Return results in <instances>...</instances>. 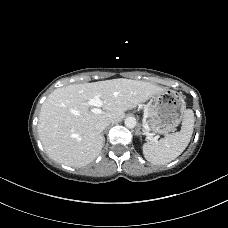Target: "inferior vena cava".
I'll list each match as a JSON object with an SVG mask.
<instances>
[{
    "label": "inferior vena cava",
    "mask_w": 228,
    "mask_h": 228,
    "mask_svg": "<svg viewBox=\"0 0 228 228\" xmlns=\"http://www.w3.org/2000/svg\"><path fill=\"white\" fill-rule=\"evenodd\" d=\"M110 123L109 120L100 121L96 123L95 128L99 132H102Z\"/></svg>",
    "instance_id": "602c4592"
}]
</instances>
